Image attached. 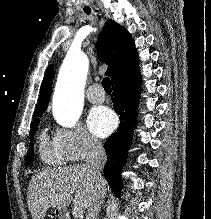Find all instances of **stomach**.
I'll return each mask as SVG.
<instances>
[{
    "label": "stomach",
    "mask_w": 211,
    "mask_h": 219,
    "mask_svg": "<svg viewBox=\"0 0 211 219\" xmlns=\"http://www.w3.org/2000/svg\"><path fill=\"white\" fill-rule=\"evenodd\" d=\"M55 214H58V216H61L63 214V211L60 209L55 210Z\"/></svg>",
    "instance_id": "stomach-1"
}]
</instances>
